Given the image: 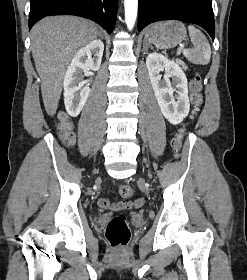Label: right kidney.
Here are the masks:
<instances>
[{
  "label": "right kidney",
  "instance_id": "1",
  "mask_svg": "<svg viewBox=\"0 0 247 280\" xmlns=\"http://www.w3.org/2000/svg\"><path fill=\"white\" fill-rule=\"evenodd\" d=\"M104 51V44L100 40H94L81 48L74 55L64 77V103L67 113L77 117L83 109L90 88L82 82V72L91 69L97 71L100 68Z\"/></svg>",
  "mask_w": 247,
  "mask_h": 280
}]
</instances>
